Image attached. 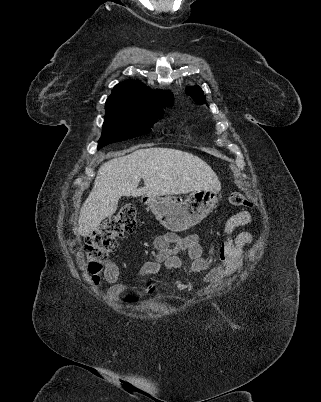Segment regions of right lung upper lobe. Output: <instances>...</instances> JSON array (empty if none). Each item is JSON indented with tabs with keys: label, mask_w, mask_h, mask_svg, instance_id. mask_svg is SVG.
I'll return each instance as SVG.
<instances>
[{
	"label": "right lung upper lobe",
	"mask_w": 321,
	"mask_h": 402,
	"mask_svg": "<svg viewBox=\"0 0 321 402\" xmlns=\"http://www.w3.org/2000/svg\"><path fill=\"white\" fill-rule=\"evenodd\" d=\"M169 92H152L140 82L127 80L117 84L106 102L125 103L142 107L162 108L173 105Z\"/></svg>",
	"instance_id": "right-lung-upper-lobe-1"
}]
</instances>
